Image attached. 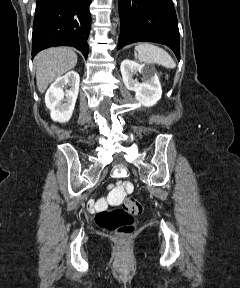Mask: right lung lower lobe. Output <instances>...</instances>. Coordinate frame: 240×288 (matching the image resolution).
Segmentation results:
<instances>
[{
    "label": "right lung lower lobe",
    "mask_w": 240,
    "mask_h": 288,
    "mask_svg": "<svg viewBox=\"0 0 240 288\" xmlns=\"http://www.w3.org/2000/svg\"><path fill=\"white\" fill-rule=\"evenodd\" d=\"M92 0H37L32 34V57L54 46H73L88 56Z\"/></svg>",
    "instance_id": "right-lung-lower-lobe-1"
}]
</instances>
